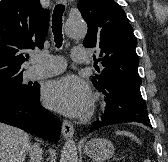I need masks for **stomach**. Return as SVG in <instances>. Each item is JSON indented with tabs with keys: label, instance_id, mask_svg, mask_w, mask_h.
<instances>
[{
	"label": "stomach",
	"instance_id": "0dacf381",
	"mask_svg": "<svg viewBox=\"0 0 168 162\" xmlns=\"http://www.w3.org/2000/svg\"><path fill=\"white\" fill-rule=\"evenodd\" d=\"M84 153L96 162H104L113 156L114 146L107 139L94 138L85 144Z\"/></svg>",
	"mask_w": 168,
	"mask_h": 162
}]
</instances>
